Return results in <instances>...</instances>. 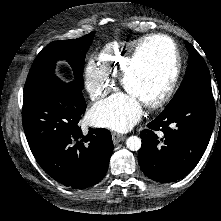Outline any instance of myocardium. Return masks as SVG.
<instances>
[{
	"instance_id": "myocardium-1",
	"label": "myocardium",
	"mask_w": 221,
	"mask_h": 221,
	"mask_svg": "<svg viewBox=\"0 0 221 221\" xmlns=\"http://www.w3.org/2000/svg\"><path fill=\"white\" fill-rule=\"evenodd\" d=\"M158 38L164 39L170 44L172 58H173V66L170 70L169 78L165 83V85L163 86V88L160 91H156L151 100L142 103L143 106L149 109H156L162 106L163 104H165V102L170 98V96L172 95L175 89L177 79L181 72V63H182L181 56L175 40L171 36L164 33H155L142 37L135 44L132 51L130 52L128 61L119 76L121 87L123 88V90L127 91V79L137 63L142 48L151 40Z\"/></svg>"
}]
</instances>
